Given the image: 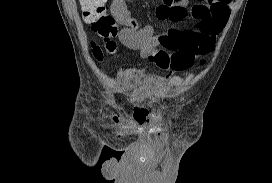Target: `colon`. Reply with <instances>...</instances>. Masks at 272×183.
Masks as SVG:
<instances>
[{
    "label": "colon",
    "mask_w": 272,
    "mask_h": 183,
    "mask_svg": "<svg viewBox=\"0 0 272 183\" xmlns=\"http://www.w3.org/2000/svg\"><path fill=\"white\" fill-rule=\"evenodd\" d=\"M84 12V19L91 25L92 30L101 36L105 41V47L108 51H112L114 46L110 42L111 37L115 36L121 26H123V18L127 13L126 5L128 0H112L113 13L105 10L104 0H79ZM93 54L95 58L100 59L103 50L100 46H93ZM152 60L162 69H171L172 61L167 53L159 51Z\"/></svg>",
    "instance_id": "5ec220e1"
}]
</instances>
